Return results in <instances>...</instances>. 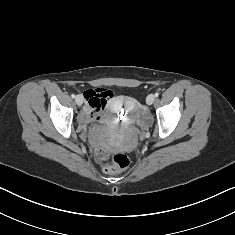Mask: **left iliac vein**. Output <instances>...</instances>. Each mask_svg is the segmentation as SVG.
<instances>
[{
    "label": "left iliac vein",
    "instance_id": "obj_1",
    "mask_svg": "<svg viewBox=\"0 0 235 235\" xmlns=\"http://www.w3.org/2000/svg\"><path fill=\"white\" fill-rule=\"evenodd\" d=\"M154 100H155V96H154L153 94H150V95H148L147 98H146V103H147L148 105H151V104H153Z\"/></svg>",
    "mask_w": 235,
    "mask_h": 235
}]
</instances>
